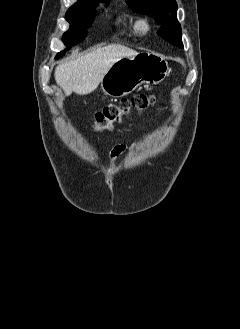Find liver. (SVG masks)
Segmentation results:
<instances>
[{
  "label": "liver",
  "mask_w": 240,
  "mask_h": 329,
  "mask_svg": "<svg viewBox=\"0 0 240 329\" xmlns=\"http://www.w3.org/2000/svg\"><path fill=\"white\" fill-rule=\"evenodd\" d=\"M133 49L119 44L98 48L76 60L62 63L55 69V81L66 96L75 92L78 95L92 93L110 67L123 57L137 55Z\"/></svg>",
  "instance_id": "obj_1"
}]
</instances>
